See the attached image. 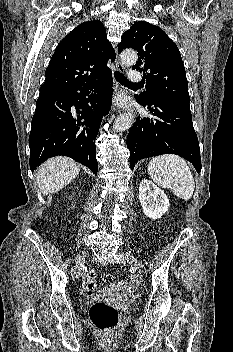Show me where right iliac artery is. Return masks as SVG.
Masks as SVG:
<instances>
[{"mask_svg": "<svg viewBox=\"0 0 233 352\" xmlns=\"http://www.w3.org/2000/svg\"><path fill=\"white\" fill-rule=\"evenodd\" d=\"M75 273V267L72 269L71 274L73 275Z\"/></svg>", "mask_w": 233, "mask_h": 352, "instance_id": "right-iliac-artery-1", "label": "right iliac artery"}]
</instances>
